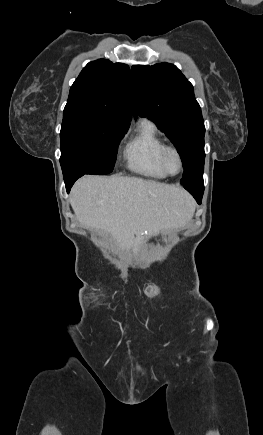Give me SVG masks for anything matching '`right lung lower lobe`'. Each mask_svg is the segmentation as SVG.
<instances>
[{"label":"right lung lower lobe","mask_w":263,"mask_h":435,"mask_svg":"<svg viewBox=\"0 0 263 435\" xmlns=\"http://www.w3.org/2000/svg\"><path fill=\"white\" fill-rule=\"evenodd\" d=\"M81 176H83V175H82V174H76V175H72V176H70V177L64 179V181H65V186H66V190H67L68 193H69V191H70L72 185L74 184V182H75L78 178H80Z\"/></svg>","instance_id":"98d812e1"}]
</instances>
